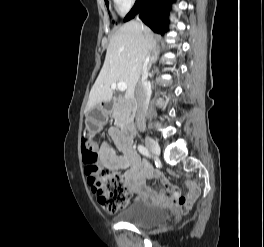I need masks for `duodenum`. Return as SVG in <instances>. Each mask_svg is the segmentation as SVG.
Returning a JSON list of instances; mask_svg holds the SVG:
<instances>
[{
    "label": "duodenum",
    "mask_w": 264,
    "mask_h": 247,
    "mask_svg": "<svg viewBox=\"0 0 264 247\" xmlns=\"http://www.w3.org/2000/svg\"><path fill=\"white\" fill-rule=\"evenodd\" d=\"M131 110L132 111L136 110V106L134 104H132ZM122 130H123L124 134H126L129 137L133 136L135 134V132H136L135 125H134V123L132 121L124 122L122 124Z\"/></svg>",
    "instance_id": "1"
}]
</instances>
